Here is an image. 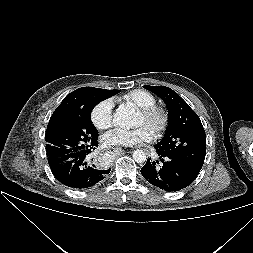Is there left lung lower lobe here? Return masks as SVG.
<instances>
[{"label": "left lung lower lobe", "instance_id": "left-lung-lower-lobe-1", "mask_svg": "<svg viewBox=\"0 0 253 253\" xmlns=\"http://www.w3.org/2000/svg\"><path fill=\"white\" fill-rule=\"evenodd\" d=\"M159 161L149 158L141 169V174L153 186L167 192L179 191L189 186L199 174L181 160L157 151Z\"/></svg>", "mask_w": 253, "mask_h": 253}]
</instances>
